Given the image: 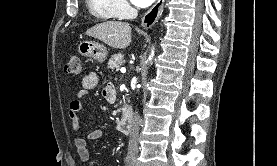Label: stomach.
I'll list each match as a JSON object with an SVG mask.
<instances>
[{
	"label": "stomach",
	"instance_id": "1",
	"mask_svg": "<svg viewBox=\"0 0 277 166\" xmlns=\"http://www.w3.org/2000/svg\"><path fill=\"white\" fill-rule=\"evenodd\" d=\"M78 52L85 57H90L100 63L107 59L108 51L106 47L94 41H80L77 45Z\"/></svg>",
	"mask_w": 277,
	"mask_h": 166
}]
</instances>
